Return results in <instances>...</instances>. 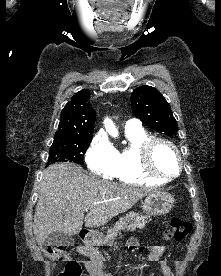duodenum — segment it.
<instances>
[{
  "label": "duodenum",
  "instance_id": "duodenum-1",
  "mask_svg": "<svg viewBox=\"0 0 221 276\" xmlns=\"http://www.w3.org/2000/svg\"><path fill=\"white\" fill-rule=\"evenodd\" d=\"M79 236L83 240V242H85L86 244H90L91 243V233H90V231H88L86 229H82L79 232Z\"/></svg>",
  "mask_w": 221,
  "mask_h": 276
}]
</instances>
